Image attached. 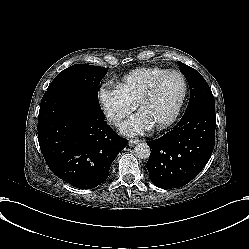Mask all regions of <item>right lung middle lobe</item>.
Segmentation results:
<instances>
[{
	"label": "right lung middle lobe",
	"instance_id": "obj_1",
	"mask_svg": "<svg viewBox=\"0 0 249 249\" xmlns=\"http://www.w3.org/2000/svg\"><path fill=\"white\" fill-rule=\"evenodd\" d=\"M107 69L87 64H75L60 72L48 87V91H73L82 94L85 104L101 109L98 85Z\"/></svg>",
	"mask_w": 249,
	"mask_h": 249
}]
</instances>
